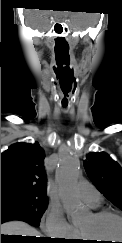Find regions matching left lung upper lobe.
<instances>
[{
	"label": "left lung upper lobe",
	"mask_w": 122,
	"mask_h": 243,
	"mask_svg": "<svg viewBox=\"0 0 122 243\" xmlns=\"http://www.w3.org/2000/svg\"><path fill=\"white\" fill-rule=\"evenodd\" d=\"M84 168L96 188L122 210V168L105 152H91Z\"/></svg>",
	"instance_id": "obj_1"
}]
</instances>
